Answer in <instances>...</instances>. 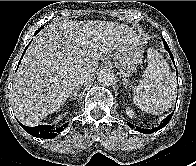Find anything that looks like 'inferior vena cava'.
Returning a JSON list of instances; mask_svg holds the SVG:
<instances>
[{
    "label": "inferior vena cava",
    "instance_id": "obj_1",
    "mask_svg": "<svg viewBox=\"0 0 196 166\" xmlns=\"http://www.w3.org/2000/svg\"><path fill=\"white\" fill-rule=\"evenodd\" d=\"M90 77H91V75H90L89 73L78 72V73L74 76V83H75L76 85L83 84V83L86 82Z\"/></svg>",
    "mask_w": 196,
    "mask_h": 166
}]
</instances>
